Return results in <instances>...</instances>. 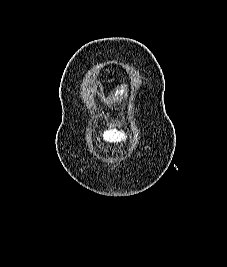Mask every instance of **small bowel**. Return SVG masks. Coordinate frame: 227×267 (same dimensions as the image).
I'll return each instance as SVG.
<instances>
[{"instance_id":"1","label":"small bowel","mask_w":227,"mask_h":267,"mask_svg":"<svg viewBox=\"0 0 227 267\" xmlns=\"http://www.w3.org/2000/svg\"><path fill=\"white\" fill-rule=\"evenodd\" d=\"M103 139L110 144H118L126 142L128 140V135L120 130L107 129L103 132Z\"/></svg>"}]
</instances>
